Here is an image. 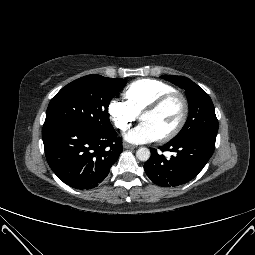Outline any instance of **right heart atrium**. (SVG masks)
<instances>
[{
    "instance_id": "right-heart-atrium-1",
    "label": "right heart atrium",
    "mask_w": 255,
    "mask_h": 255,
    "mask_svg": "<svg viewBox=\"0 0 255 255\" xmlns=\"http://www.w3.org/2000/svg\"><path fill=\"white\" fill-rule=\"evenodd\" d=\"M107 112L112 123L122 132L130 128L138 115L125 101L118 99L109 102Z\"/></svg>"
}]
</instances>
